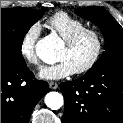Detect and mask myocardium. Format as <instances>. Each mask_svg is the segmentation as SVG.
<instances>
[{
  "mask_svg": "<svg viewBox=\"0 0 123 123\" xmlns=\"http://www.w3.org/2000/svg\"><path fill=\"white\" fill-rule=\"evenodd\" d=\"M88 35L92 36L95 40V50H94V53L91 59L84 66L75 70V73L77 74L86 73L90 71L97 64L102 54V51H103V44H104L103 37L101 33L96 29L84 28L82 30L75 32L70 37H68L66 40H64V45L67 48H72L78 43L80 39Z\"/></svg>",
  "mask_w": 123,
  "mask_h": 123,
  "instance_id": "obj_1",
  "label": "myocardium"
}]
</instances>
